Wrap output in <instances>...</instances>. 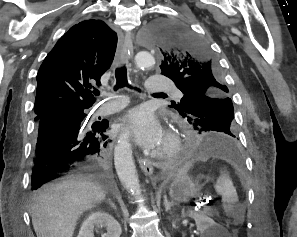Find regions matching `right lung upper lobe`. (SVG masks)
<instances>
[{
    "mask_svg": "<svg viewBox=\"0 0 297 237\" xmlns=\"http://www.w3.org/2000/svg\"><path fill=\"white\" fill-rule=\"evenodd\" d=\"M117 36L103 21L74 25L56 43L37 74L36 118L50 111H78L92 106L91 89L114 58Z\"/></svg>",
    "mask_w": 297,
    "mask_h": 237,
    "instance_id": "obj_1",
    "label": "right lung upper lobe"
}]
</instances>
